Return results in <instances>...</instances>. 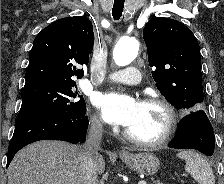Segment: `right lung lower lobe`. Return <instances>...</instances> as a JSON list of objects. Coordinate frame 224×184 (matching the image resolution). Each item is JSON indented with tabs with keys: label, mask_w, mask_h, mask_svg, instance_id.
<instances>
[{
	"label": "right lung lower lobe",
	"mask_w": 224,
	"mask_h": 184,
	"mask_svg": "<svg viewBox=\"0 0 224 184\" xmlns=\"http://www.w3.org/2000/svg\"><path fill=\"white\" fill-rule=\"evenodd\" d=\"M88 128V118L65 116L62 114H44L34 116L15 126L7 154V167L16 152L24 146L39 140L53 139L70 143H82Z\"/></svg>",
	"instance_id": "right-lung-lower-lobe-1"
}]
</instances>
